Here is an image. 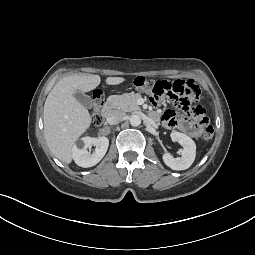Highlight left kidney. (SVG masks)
Wrapping results in <instances>:
<instances>
[{
  "mask_svg": "<svg viewBox=\"0 0 255 255\" xmlns=\"http://www.w3.org/2000/svg\"><path fill=\"white\" fill-rule=\"evenodd\" d=\"M173 142H178L183 146L181 157L174 158L170 153H164L162 158L164 163L173 170L188 169L195 160V142L186 134L174 131L170 135Z\"/></svg>",
  "mask_w": 255,
  "mask_h": 255,
  "instance_id": "5707ae66",
  "label": "left kidney"
}]
</instances>
